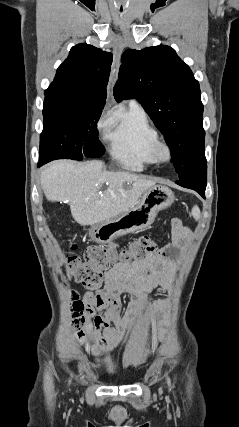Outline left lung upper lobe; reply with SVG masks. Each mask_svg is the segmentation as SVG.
I'll list each match as a JSON object with an SVG mask.
<instances>
[{
    "instance_id": "5c2ea615",
    "label": "left lung upper lobe",
    "mask_w": 239,
    "mask_h": 427,
    "mask_svg": "<svg viewBox=\"0 0 239 427\" xmlns=\"http://www.w3.org/2000/svg\"><path fill=\"white\" fill-rule=\"evenodd\" d=\"M121 61L114 97L142 104L165 137L178 179L206 165L200 87L188 65L166 45L128 49Z\"/></svg>"
}]
</instances>
